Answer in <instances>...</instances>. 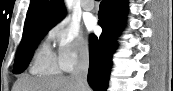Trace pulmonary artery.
I'll return each mask as SVG.
<instances>
[{"mask_svg": "<svg viewBox=\"0 0 173 91\" xmlns=\"http://www.w3.org/2000/svg\"><path fill=\"white\" fill-rule=\"evenodd\" d=\"M82 8L86 11H91L94 9V1L93 0H84L81 2Z\"/></svg>", "mask_w": 173, "mask_h": 91, "instance_id": "1", "label": "pulmonary artery"}]
</instances>
